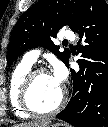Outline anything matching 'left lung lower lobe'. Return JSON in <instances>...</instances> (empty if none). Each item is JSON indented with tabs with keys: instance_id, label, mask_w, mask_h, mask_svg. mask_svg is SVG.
<instances>
[{
	"instance_id": "1",
	"label": "left lung lower lobe",
	"mask_w": 108,
	"mask_h": 127,
	"mask_svg": "<svg viewBox=\"0 0 108 127\" xmlns=\"http://www.w3.org/2000/svg\"><path fill=\"white\" fill-rule=\"evenodd\" d=\"M86 43L80 46V69H70L73 95L56 117L75 127H108V5L84 0L72 30ZM68 66V63L66 64ZM94 73H99L94 75Z\"/></svg>"
}]
</instances>
